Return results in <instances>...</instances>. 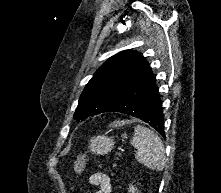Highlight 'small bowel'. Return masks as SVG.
<instances>
[{
    "instance_id": "c3829d8e",
    "label": "small bowel",
    "mask_w": 221,
    "mask_h": 193,
    "mask_svg": "<svg viewBox=\"0 0 221 193\" xmlns=\"http://www.w3.org/2000/svg\"><path fill=\"white\" fill-rule=\"evenodd\" d=\"M88 183L99 187V190L96 193H111L112 188L110 178L103 172H96L90 175Z\"/></svg>"
}]
</instances>
